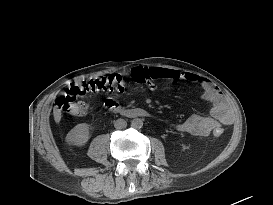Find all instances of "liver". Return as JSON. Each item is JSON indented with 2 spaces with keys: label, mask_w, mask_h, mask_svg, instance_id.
I'll list each match as a JSON object with an SVG mask.
<instances>
[{
  "label": "liver",
  "mask_w": 273,
  "mask_h": 205,
  "mask_svg": "<svg viewBox=\"0 0 273 205\" xmlns=\"http://www.w3.org/2000/svg\"><path fill=\"white\" fill-rule=\"evenodd\" d=\"M54 118L56 122H59L61 120V113L59 111H54Z\"/></svg>",
  "instance_id": "obj_1"
}]
</instances>
